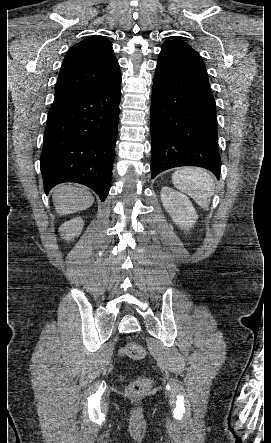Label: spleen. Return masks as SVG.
Here are the masks:
<instances>
[{
  "mask_svg": "<svg viewBox=\"0 0 271 443\" xmlns=\"http://www.w3.org/2000/svg\"><path fill=\"white\" fill-rule=\"evenodd\" d=\"M172 184L177 190L189 194L196 204L209 210V198L213 192V178L199 168H179L172 174Z\"/></svg>",
  "mask_w": 271,
  "mask_h": 443,
  "instance_id": "1",
  "label": "spleen"
}]
</instances>
